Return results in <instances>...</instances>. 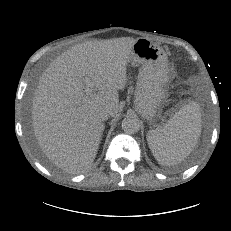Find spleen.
<instances>
[{"instance_id": "spleen-1", "label": "spleen", "mask_w": 231, "mask_h": 231, "mask_svg": "<svg viewBox=\"0 0 231 231\" xmlns=\"http://www.w3.org/2000/svg\"><path fill=\"white\" fill-rule=\"evenodd\" d=\"M201 134L199 104L183 105L163 126L147 134L149 148L161 165L171 166L183 161L198 143Z\"/></svg>"}]
</instances>
